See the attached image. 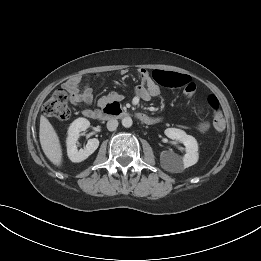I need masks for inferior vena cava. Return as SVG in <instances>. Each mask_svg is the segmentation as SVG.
<instances>
[{
	"label": "inferior vena cava",
	"instance_id": "602c4592",
	"mask_svg": "<svg viewBox=\"0 0 261 261\" xmlns=\"http://www.w3.org/2000/svg\"><path fill=\"white\" fill-rule=\"evenodd\" d=\"M117 127H118V121L116 119H110L107 122V129L109 131H114V130H116Z\"/></svg>",
	"mask_w": 261,
	"mask_h": 261
}]
</instances>
